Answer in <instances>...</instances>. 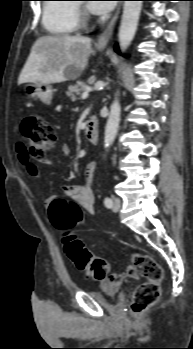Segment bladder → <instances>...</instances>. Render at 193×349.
<instances>
[{
    "mask_svg": "<svg viewBox=\"0 0 193 349\" xmlns=\"http://www.w3.org/2000/svg\"><path fill=\"white\" fill-rule=\"evenodd\" d=\"M89 295L93 297L98 303L103 304V303H108L112 299V302H116L119 300V295L118 294H112V295H107L103 291H95V290H90L88 291Z\"/></svg>",
    "mask_w": 193,
    "mask_h": 349,
    "instance_id": "31cf9c89",
    "label": "bladder"
}]
</instances>
